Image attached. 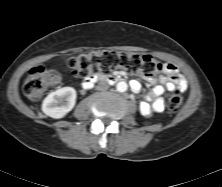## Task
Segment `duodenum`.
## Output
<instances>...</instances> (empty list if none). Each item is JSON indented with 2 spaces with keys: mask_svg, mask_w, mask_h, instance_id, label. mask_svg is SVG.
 Wrapping results in <instances>:
<instances>
[{
  "mask_svg": "<svg viewBox=\"0 0 222 187\" xmlns=\"http://www.w3.org/2000/svg\"><path fill=\"white\" fill-rule=\"evenodd\" d=\"M121 75H98L84 82L85 88H90L96 81H105L109 83H114L122 80Z\"/></svg>",
  "mask_w": 222,
  "mask_h": 187,
  "instance_id": "duodenum-1",
  "label": "duodenum"
}]
</instances>
